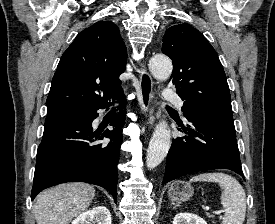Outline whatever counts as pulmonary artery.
<instances>
[{
	"label": "pulmonary artery",
	"mask_w": 275,
	"mask_h": 224,
	"mask_svg": "<svg viewBox=\"0 0 275 224\" xmlns=\"http://www.w3.org/2000/svg\"><path fill=\"white\" fill-rule=\"evenodd\" d=\"M162 96L166 101L175 103L179 109L183 108L184 102L175 91L167 89L163 91Z\"/></svg>",
	"instance_id": "obj_1"
}]
</instances>
